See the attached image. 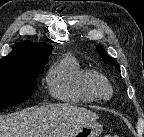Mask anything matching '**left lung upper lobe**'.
Returning a JSON list of instances; mask_svg holds the SVG:
<instances>
[{
  "label": "left lung upper lobe",
  "instance_id": "left-lung-upper-lobe-1",
  "mask_svg": "<svg viewBox=\"0 0 144 137\" xmlns=\"http://www.w3.org/2000/svg\"><path fill=\"white\" fill-rule=\"evenodd\" d=\"M97 51L98 53L101 55V57L105 60H107L108 62H110L111 64H113L118 70L120 69L119 68V64L117 63L116 60L110 58L109 56H107L103 50V47L102 46H98L97 47Z\"/></svg>",
  "mask_w": 144,
  "mask_h": 137
}]
</instances>
